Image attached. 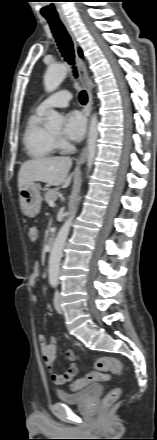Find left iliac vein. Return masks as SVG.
<instances>
[{
	"label": "left iliac vein",
	"mask_w": 157,
	"mask_h": 440,
	"mask_svg": "<svg viewBox=\"0 0 157 440\" xmlns=\"http://www.w3.org/2000/svg\"><path fill=\"white\" fill-rule=\"evenodd\" d=\"M54 306L58 313H63V308L61 306V294L59 291H56L55 297H54Z\"/></svg>",
	"instance_id": "obj_1"
}]
</instances>
